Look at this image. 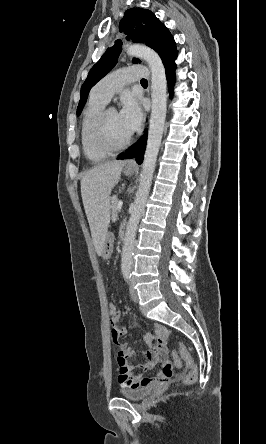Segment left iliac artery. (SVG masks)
I'll use <instances>...</instances> for the list:
<instances>
[{
	"label": "left iliac artery",
	"instance_id": "obj_1",
	"mask_svg": "<svg viewBox=\"0 0 266 444\" xmlns=\"http://www.w3.org/2000/svg\"><path fill=\"white\" fill-rule=\"evenodd\" d=\"M125 277H126V280L128 282L130 280V275H126Z\"/></svg>",
	"mask_w": 266,
	"mask_h": 444
}]
</instances>
